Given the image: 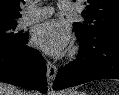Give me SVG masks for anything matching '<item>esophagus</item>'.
Instances as JSON below:
<instances>
[{"label": "esophagus", "instance_id": "34e87169", "mask_svg": "<svg viewBox=\"0 0 119 95\" xmlns=\"http://www.w3.org/2000/svg\"><path fill=\"white\" fill-rule=\"evenodd\" d=\"M57 74V67L54 63L51 61H47V71H46V76H47V82L49 87L51 88L53 85V81L56 77Z\"/></svg>", "mask_w": 119, "mask_h": 95}]
</instances>
